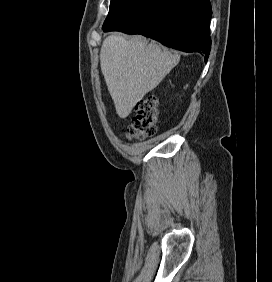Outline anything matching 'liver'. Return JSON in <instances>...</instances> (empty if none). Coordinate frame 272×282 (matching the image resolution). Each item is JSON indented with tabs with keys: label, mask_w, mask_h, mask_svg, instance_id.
Instances as JSON below:
<instances>
[{
	"label": "liver",
	"mask_w": 272,
	"mask_h": 282,
	"mask_svg": "<svg viewBox=\"0 0 272 282\" xmlns=\"http://www.w3.org/2000/svg\"><path fill=\"white\" fill-rule=\"evenodd\" d=\"M180 55L142 36L127 40L108 36L100 51V66L116 113L126 118L133 107L175 67Z\"/></svg>",
	"instance_id": "1"
}]
</instances>
